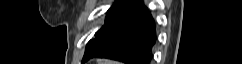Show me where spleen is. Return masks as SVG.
I'll list each match as a JSON object with an SVG mask.
<instances>
[{"mask_svg": "<svg viewBox=\"0 0 242 64\" xmlns=\"http://www.w3.org/2000/svg\"><path fill=\"white\" fill-rule=\"evenodd\" d=\"M106 64H115V63H112V62H108V63H106Z\"/></svg>", "mask_w": 242, "mask_h": 64, "instance_id": "1", "label": "spleen"}]
</instances>
